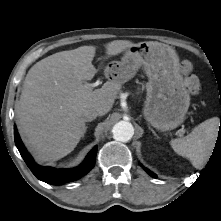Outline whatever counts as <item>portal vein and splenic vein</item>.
Instances as JSON below:
<instances>
[{
	"label": "portal vein and splenic vein",
	"mask_w": 221,
	"mask_h": 221,
	"mask_svg": "<svg viewBox=\"0 0 221 221\" xmlns=\"http://www.w3.org/2000/svg\"><path fill=\"white\" fill-rule=\"evenodd\" d=\"M90 87H95L96 84L95 83H92V84H88Z\"/></svg>",
	"instance_id": "portal-vein-and-splenic-vein-1"
}]
</instances>
